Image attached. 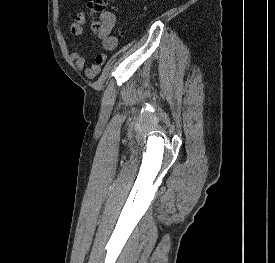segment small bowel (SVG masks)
I'll return each instance as SVG.
<instances>
[{"label":"small bowel","mask_w":275,"mask_h":263,"mask_svg":"<svg viewBox=\"0 0 275 263\" xmlns=\"http://www.w3.org/2000/svg\"><path fill=\"white\" fill-rule=\"evenodd\" d=\"M86 21V15L81 12L77 14L74 22L71 24L70 32L76 41L81 39ZM105 21L106 30L103 33H99L98 37L102 41L104 49L113 51L118 47L119 44L118 39L115 36L110 35V31L115 26V18L112 14H107L105 16ZM70 59L72 62H74L77 70L84 71L88 79H94L99 75L101 67L106 63L107 56L105 53H98L95 56L94 61L89 65H86L84 56L79 52H72L70 54Z\"/></svg>","instance_id":"1"}]
</instances>
